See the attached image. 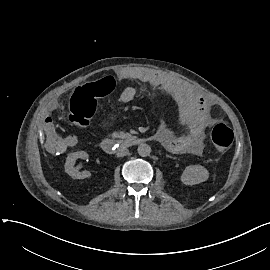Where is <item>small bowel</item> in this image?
I'll use <instances>...</instances> for the list:
<instances>
[{
  "instance_id": "obj_1",
  "label": "small bowel",
  "mask_w": 270,
  "mask_h": 270,
  "mask_svg": "<svg viewBox=\"0 0 270 270\" xmlns=\"http://www.w3.org/2000/svg\"><path fill=\"white\" fill-rule=\"evenodd\" d=\"M123 76L163 89L172 94L178 101L191 105V118L181 122V125L186 127L185 133H179L175 127L164 124L157 130L156 137L171 153L201 155L204 149L205 132L216 122V118L210 114L212 101L175 78L157 70L129 69L124 72ZM134 97L135 90L127 86L120 94V101L129 103ZM44 127L46 131L44 140L48 143V150L53 155H62L68 146L74 145L75 139L73 137L64 139L62 136H57L55 122L52 119H47L44 122Z\"/></svg>"
}]
</instances>
